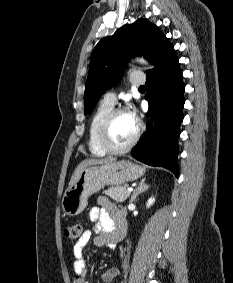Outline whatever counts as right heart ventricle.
Returning a JSON list of instances; mask_svg holds the SVG:
<instances>
[{
  "mask_svg": "<svg viewBox=\"0 0 233 283\" xmlns=\"http://www.w3.org/2000/svg\"><path fill=\"white\" fill-rule=\"evenodd\" d=\"M112 109L113 105L102 101L91 116L87 143L90 153L94 156L103 157L107 154L99 145L98 133L103 120Z\"/></svg>",
  "mask_w": 233,
  "mask_h": 283,
  "instance_id": "1",
  "label": "right heart ventricle"
}]
</instances>
